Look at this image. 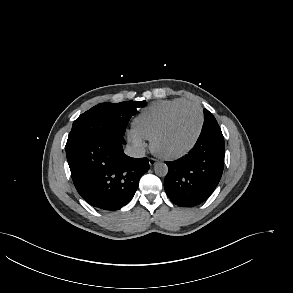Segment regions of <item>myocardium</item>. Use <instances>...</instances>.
I'll use <instances>...</instances> for the list:
<instances>
[{
    "mask_svg": "<svg viewBox=\"0 0 293 293\" xmlns=\"http://www.w3.org/2000/svg\"><path fill=\"white\" fill-rule=\"evenodd\" d=\"M187 107H193V108L197 109L198 112H199V116H200L199 127H198V130H197L193 140L191 141V143L186 148H184L183 150H181L179 152H176V153L162 152L157 147V142H158L159 137L166 131V129L169 127V125L171 124V122L173 121L175 116L179 112H181L182 110H184ZM204 122H205V117H204L203 109L197 103L188 102V103H185L183 105L178 106L177 108H175L174 110H172L169 113V115L165 118L163 123L158 127V129L152 135V137H151V148H152L153 152L157 156H159V157H161L163 159H167V160H176V159H180V158L186 156L196 146V144H197V142H198V140H199V138H200V136L202 134L203 127H204Z\"/></svg>",
    "mask_w": 293,
    "mask_h": 293,
    "instance_id": "obj_1",
    "label": "myocardium"
}]
</instances>
